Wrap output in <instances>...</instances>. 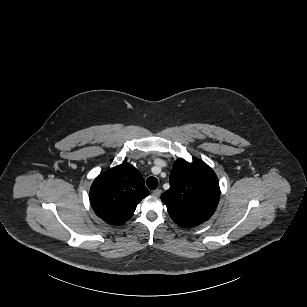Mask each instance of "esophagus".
<instances>
[{
	"label": "esophagus",
	"instance_id": "1",
	"mask_svg": "<svg viewBox=\"0 0 307 307\" xmlns=\"http://www.w3.org/2000/svg\"><path fill=\"white\" fill-rule=\"evenodd\" d=\"M152 195L154 197H159L161 195V190L160 189H156L152 192Z\"/></svg>",
	"mask_w": 307,
	"mask_h": 307
}]
</instances>
